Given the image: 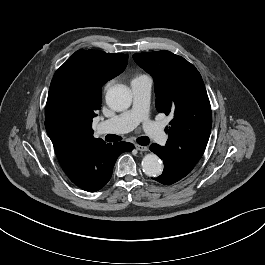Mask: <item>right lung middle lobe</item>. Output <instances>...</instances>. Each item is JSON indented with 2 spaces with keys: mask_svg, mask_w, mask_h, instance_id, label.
<instances>
[{
  "mask_svg": "<svg viewBox=\"0 0 265 265\" xmlns=\"http://www.w3.org/2000/svg\"><path fill=\"white\" fill-rule=\"evenodd\" d=\"M86 98L87 91L74 81L71 68L61 66L52 79L45 114L52 115L60 121H68Z\"/></svg>",
  "mask_w": 265,
  "mask_h": 265,
  "instance_id": "1",
  "label": "right lung middle lobe"
}]
</instances>
